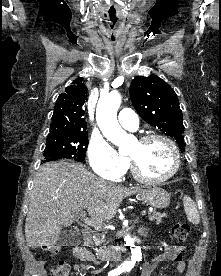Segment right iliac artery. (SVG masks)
Instances as JSON below:
<instances>
[{
	"label": "right iliac artery",
	"instance_id": "82829eb1",
	"mask_svg": "<svg viewBox=\"0 0 221 276\" xmlns=\"http://www.w3.org/2000/svg\"><path fill=\"white\" fill-rule=\"evenodd\" d=\"M124 270H125L124 267H118L117 269L110 271L109 274H108V276H118Z\"/></svg>",
	"mask_w": 221,
	"mask_h": 276
}]
</instances>
